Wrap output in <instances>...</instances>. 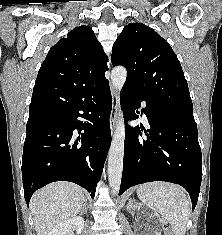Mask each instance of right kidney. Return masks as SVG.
Returning <instances> with one entry per match:
<instances>
[{
    "label": "right kidney",
    "mask_w": 222,
    "mask_h": 235,
    "mask_svg": "<svg viewBox=\"0 0 222 235\" xmlns=\"http://www.w3.org/2000/svg\"><path fill=\"white\" fill-rule=\"evenodd\" d=\"M84 223L83 217L75 216L56 225L50 231L49 235H68L72 228L75 229L77 235H79L83 230Z\"/></svg>",
    "instance_id": "obj_1"
}]
</instances>
